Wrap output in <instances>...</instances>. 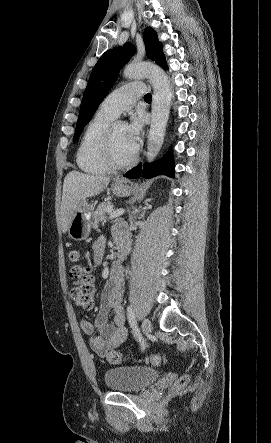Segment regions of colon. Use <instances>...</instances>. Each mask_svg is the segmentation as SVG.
<instances>
[{
	"mask_svg": "<svg viewBox=\"0 0 271 443\" xmlns=\"http://www.w3.org/2000/svg\"><path fill=\"white\" fill-rule=\"evenodd\" d=\"M70 259L74 263L70 270V277L74 280L71 290V297L74 303L84 309H91L94 305L95 286L91 276V267L88 264H82V256L78 251L70 253ZM126 356L118 351H110L107 354V360L111 364H119L126 360ZM152 364H160L163 358L160 355H152L146 358ZM189 381L188 375H182L175 383L177 389H181Z\"/></svg>",
	"mask_w": 271,
	"mask_h": 443,
	"instance_id": "5ec220e1",
	"label": "colon"
}]
</instances>
